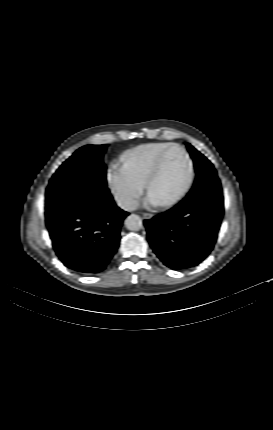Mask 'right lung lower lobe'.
<instances>
[{
	"mask_svg": "<svg viewBox=\"0 0 273 430\" xmlns=\"http://www.w3.org/2000/svg\"><path fill=\"white\" fill-rule=\"evenodd\" d=\"M129 213L111 196H84L46 210V225L63 264L85 275L103 271L116 253Z\"/></svg>",
	"mask_w": 273,
	"mask_h": 430,
	"instance_id": "obj_1",
	"label": "right lung lower lobe"
}]
</instances>
